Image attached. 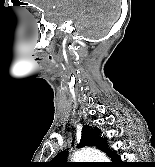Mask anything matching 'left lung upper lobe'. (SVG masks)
<instances>
[{
	"label": "left lung upper lobe",
	"mask_w": 155,
	"mask_h": 167,
	"mask_svg": "<svg viewBox=\"0 0 155 167\" xmlns=\"http://www.w3.org/2000/svg\"><path fill=\"white\" fill-rule=\"evenodd\" d=\"M100 130L98 128H93L91 126L85 125L82 129L81 140L78 144V147L84 146H97L103 152L107 153L108 155L112 152L108 149V145L106 143L105 138L99 136ZM67 155L68 152L62 151L57 154L49 163L48 167H77L76 163L67 162Z\"/></svg>",
	"instance_id": "obj_1"
}]
</instances>
